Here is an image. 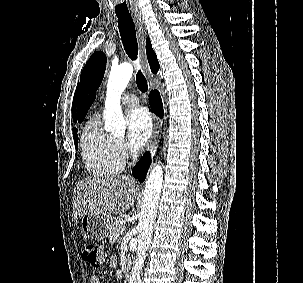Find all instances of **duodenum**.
<instances>
[{"label":"duodenum","mask_w":303,"mask_h":283,"mask_svg":"<svg viewBox=\"0 0 303 283\" xmlns=\"http://www.w3.org/2000/svg\"><path fill=\"white\" fill-rule=\"evenodd\" d=\"M130 269H131V264L130 263H128L127 265H126V272H129L130 271Z\"/></svg>","instance_id":"1"}]
</instances>
